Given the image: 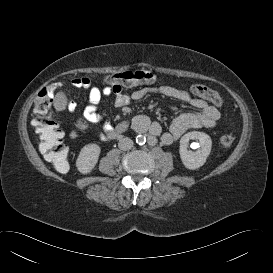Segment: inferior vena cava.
<instances>
[{
	"label": "inferior vena cava",
	"mask_w": 273,
	"mask_h": 273,
	"mask_svg": "<svg viewBox=\"0 0 273 273\" xmlns=\"http://www.w3.org/2000/svg\"><path fill=\"white\" fill-rule=\"evenodd\" d=\"M118 147L121 150H129L133 147V141L128 137L121 138L119 140Z\"/></svg>",
	"instance_id": "obj_1"
}]
</instances>
